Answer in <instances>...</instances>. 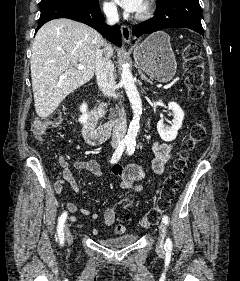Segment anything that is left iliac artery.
Returning a JSON list of instances; mask_svg holds the SVG:
<instances>
[{
	"instance_id": "obj_1",
	"label": "left iliac artery",
	"mask_w": 240,
	"mask_h": 281,
	"mask_svg": "<svg viewBox=\"0 0 240 281\" xmlns=\"http://www.w3.org/2000/svg\"><path fill=\"white\" fill-rule=\"evenodd\" d=\"M134 151H135V143H129V144L127 145V153H128V155H132V154L134 153ZM162 221H163L166 225H168V223H169V217H168L167 215H164L163 218H162ZM164 248H165V250H167V251H171V249H172V241H171L169 238L166 240V243H165V245H164Z\"/></svg>"
}]
</instances>
